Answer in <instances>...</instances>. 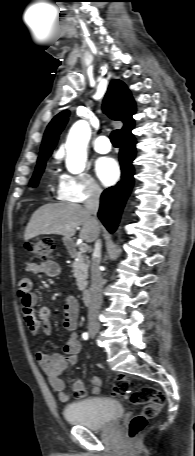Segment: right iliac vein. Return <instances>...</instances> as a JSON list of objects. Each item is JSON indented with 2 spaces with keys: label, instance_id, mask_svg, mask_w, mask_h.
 <instances>
[{
  "label": "right iliac vein",
  "instance_id": "right-iliac-vein-1",
  "mask_svg": "<svg viewBox=\"0 0 195 456\" xmlns=\"http://www.w3.org/2000/svg\"><path fill=\"white\" fill-rule=\"evenodd\" d=\"M98 331H99V328H98V327L93 326V327H90V328H89V333H90L92 336H95V335L98 333Z\"/></svg>",
  "mask_w": 195,
  "mask_h": 456
}]
</instances>
